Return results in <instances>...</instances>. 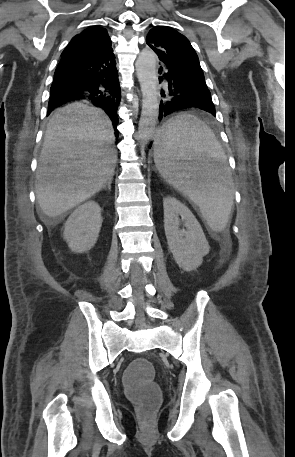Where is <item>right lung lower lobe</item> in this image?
Segmentation results:
<instances>
[{
    "mask_svg": "<svg viewBox=\"0 0 295 457\" xmlns=\"http://www.w3.org/2000/svg\"><path fill=\"white\" fill-rule=\"evenodd\" d=\"M48 115L61 104L86 99L105 110L116 136L121 91L113 49L92 58L60 62L50 89Z\"/></svg>",
    "mask_w": 295,
    "mask_h": 457,
    "instance_id": "right-lung-lower-lobe-1",
    "label": "right lung lower lobe"
}]
</instances>
